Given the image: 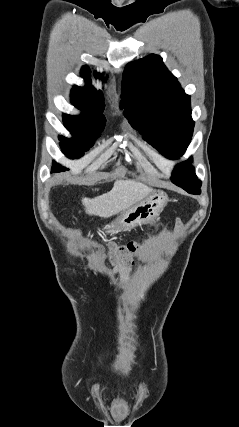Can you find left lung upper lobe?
Masks as SVG:
<instances>
[{
    "instance_id": "5c2ea615",
    "label": "left lung upper lobe",
    "mask_w": 239,
    "mask_h": 427,
    "mask_svg": "<svg viewBox=\"0 0 239 427\" xmlns=\"http://www.w3.org/2000/svg\"><path fill=\"white\" fill-rule=\"evenodd\" d=\"M120 108L144 139L168 159L184 154L193 134L190 96L158 55L129 63L123 73ZM192 158L176 166L171 181L200 187Z\"/></svg>"
}]
</instances>
